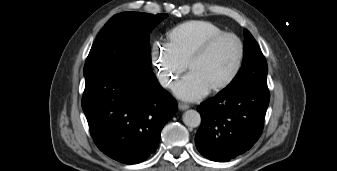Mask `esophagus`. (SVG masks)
I'll use <instances>...</instances> for the list:
<instances>
[{
  "instance_id": "esophagus-1",
  "label": "esophagus",
  "mask_w": 337,
  "mask_h": 171,
  "mask_svg": "<svg viewBox=\"0 0 337 171\" xmlns=\"http://www.w3.org/2000/svg\"><path fill=\"white\" fill-rule=\"evenodd\" d=\"M190 106L188 105V104H185V103H179L178 104V108L180 109V110H186V109H188Z\"/></svg>"
}]
</instances>
